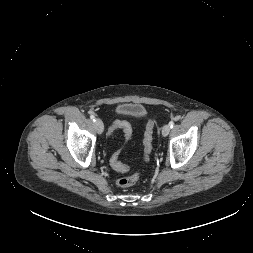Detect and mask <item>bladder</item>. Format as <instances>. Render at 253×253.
Masks as SVG:
<instances>
[{"label":"bladder","instance_id":"1","mask_svg":"<svg viewBox=\"0 0 253 253\" xmlns=\"http://www.w3.org/2000/svg\"><path fill=\"white\" fill-rule=\"evenodd\" d=\"M116 113L122 116H131V117L141 118L146 115V109L141 104L124 103L117 107Z\"/></svg>","mask_w":253,"mask_h":253}]
</instances>
